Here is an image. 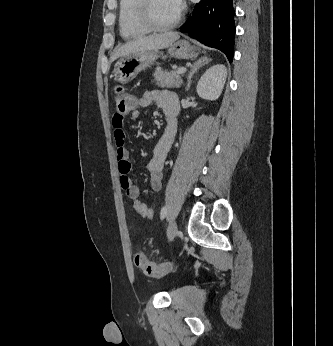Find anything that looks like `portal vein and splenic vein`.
Returning <instances> with one entry per match:
<instances>
[{
    "label": "portal vein and splenic vein",
    "instance_id": "1",
    "mask_svg": "<svg viewBox=\"0 0 333 346\" xmlns=\"http://www.w3.org/2000/svg\"><path fill=\"white\" fill-rule=\"evenodd\" d=\"M186 70L187 69L185 67H182V68L178 69L177 74H183L186 72Z\"/></svg>",
    "mask_w": 333,
    "mask_h": 346
}]
</instances>
